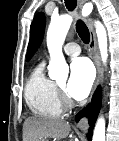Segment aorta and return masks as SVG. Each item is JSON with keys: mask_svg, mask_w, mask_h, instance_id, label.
<instances>
[{"mask_svg": "<svg viewBox=\"0 0 119 141\" xmlns=\"http://www.w3.org/2000/svg\"><path fill=\"white\" fill-rule=\"evenodd\" d=\"M72 21V16L65 14L57 18H53L49 25L46 41L50 54L48 70L49 77L51 79L59 80L67 79L68 77L69 68L62 53V46ZM95 25L101 58L105 63L108 57L106 30L99 21H96ZM92 140L105 141V120L103 117L98 118L96 122Z\"/></svg>", "mask_w": 119, "mask_h": 141, "instance_id": "aorta-1", "label": "aorta"}]
</instances>
